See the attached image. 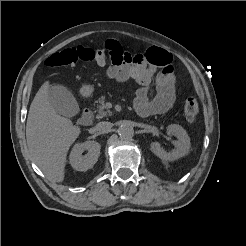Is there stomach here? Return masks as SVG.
I'll list each match as a JSON object with an SVG mask.
<instances>
[{"instance_id":"obj_1","label":"stomach","mask_w":246,"mask_h":246,"mask_svg":"<svg viewBox=\"0 0 246 246\" xmlns=\"http://www.w3.org/2000/svg\"><path fill=\"white\" fill-rule=\"evenodd\" d=\"M94 90V87L92 85L86 84L83 85L81 88V92L84 93L85 95H90Z\"/></svg>"}]
</instances>
